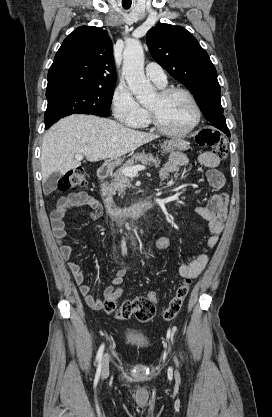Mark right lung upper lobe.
Instances as JSON below:
<instances>
[{
  "mask_svg": "<svg viewBox=\"0 0 272 417\" xmlns=\"http://www.w3.org/2000/svg\"><path fill=\"white\" fill-rule=\"evenodd\" d=\"M116 83L112 42L94 26H81L63 41L48 72L46 92L64 88H108Z\"/></svg>",
  "mask_w": 272,
  "mask_h": 417,
  "instance_id": "right-lung-upper-lobe-1",
  "label": "right lung upper lobe"
}]
</instances>
